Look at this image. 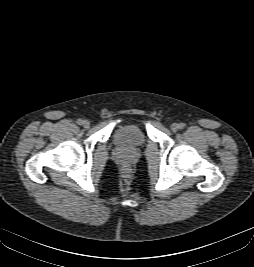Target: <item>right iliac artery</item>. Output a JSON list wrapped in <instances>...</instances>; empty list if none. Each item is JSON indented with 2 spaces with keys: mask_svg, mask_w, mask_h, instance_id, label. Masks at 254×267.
Segmentation results:
<instances>
[{
  "mask_svg": "<svg viewBox=\"0 0 254 267\" xmlns=\"http://www.w3.org/2000/svg\"><path fill=\"white\" fill-rule=\"evenodd\" d=\"M77 124L82 125L83 124V120L82 119H78L77 120Z\"/></svg>",
  "mask_w": 254,
  "mask_h": 267,
  "instance_id": "obj_1",
  "label": "right iliac artery"
}]
</instances>
